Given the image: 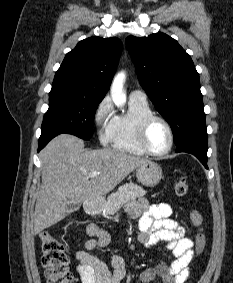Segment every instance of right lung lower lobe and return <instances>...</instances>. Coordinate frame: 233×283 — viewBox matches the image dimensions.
Returning <instances> with one entry per match:
<instances>
[{
	"label": "right lung lower lobe",
	"mask_w": 233,
	"mask_h": 283,
	"mask_svg": "<svg viewBox=\"0 0 233 283\" xmlns=\"http://www.w3.org/2000/svg\"><path fill=\"white\" fill-rule=\"evenodd\" d=\"M55 137V136H54ZM53 137L47 138V139H39V149L38 151H40Z\"/></svg>",
	"instance_id": "1"
}]
</instances>
